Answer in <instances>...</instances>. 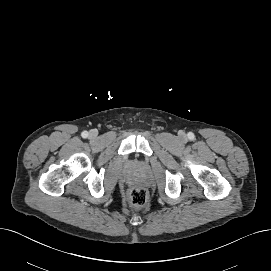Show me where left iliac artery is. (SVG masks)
Wrapping results in <instances>:
<instances>
[{
    "label": "left iliac artery",
    "mask_w": 271,
    "mask_h": 271,
    "mask_svg": "<svg viewBox=\"0 0 271 271\" xmlns=\"http://www.w3.org/2000/svg\"><path fill=\"white\" fill-rule=\"evenodd\" d=\"M194 137H195V136H194L193 133H191V132L188 133V138H189L190 140H193Z\"/></svg>",
    "instance_id": "1"
}]
</instances>
